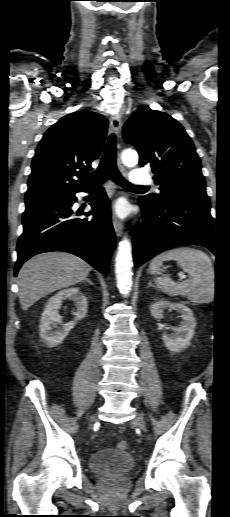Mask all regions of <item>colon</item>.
Masks as SVG:
<instances>
[{
	"mask_svg": "<svg viewBox=\"0 0 230 517\" xmlns=\"http://www.w3.org/2000/svg\"><path fill=\"white\" fill-rule=\"evenodd\" d=\"M118 448L120 450H123V451L128 450L129 449V443L127 441H120L118 443Z\"/></svg>",
	"mask_w": 230,
	"mask_h": 517,
	"instance_id": "obj_1",
	"label": "colon"
}]
</instances>
